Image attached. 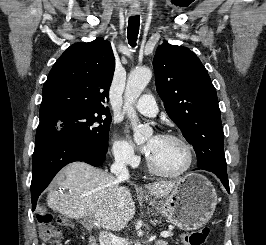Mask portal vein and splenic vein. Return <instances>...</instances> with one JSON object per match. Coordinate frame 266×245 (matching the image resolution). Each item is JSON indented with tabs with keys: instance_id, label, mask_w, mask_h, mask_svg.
<instances>
[{
	"instance_id": "18ae733b",
	"label": "portal vein and splenic vein",
	"mask_w": 266,
	"mask_h": 245,
	"mask_svg": "<svg viewBox=\"0 0 266 245\" xmlns=\"http://www.w3.org/2000/svg\"><path fill=\"white\" fill-rule=\"evenodd\" d=\"M96 227H98V225H96ZM161 237H171V233L170 231H162V233H160Z\"/></svg>"
}]
</instances>
